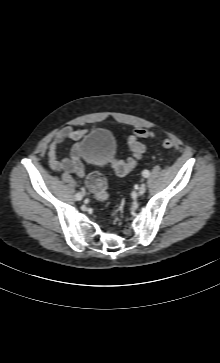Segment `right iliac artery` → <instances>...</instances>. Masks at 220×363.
<instances>
[{"instance_id": "82829eb1", "label": "right iliac artery", "mask_w": 220, "mask_h": 363, "mask_svg": "<svg viewBox=\"0 0 220 363\" xmlns=\"http://www.w3.org/2000/svg\"><path fill=\"white\" fill-rule=\"evenodd\" d=\"M75 199H76V200H81V199H82V195H81V193H77V194L75 195Z\"/></svg>"}]
</instances>
